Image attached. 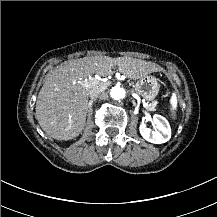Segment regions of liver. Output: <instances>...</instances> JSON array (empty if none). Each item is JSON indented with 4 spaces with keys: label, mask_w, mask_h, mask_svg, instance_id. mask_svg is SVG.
Returning a JSON list of instances; mask_svg holds the SVG:
<instances>
[{
    "label": "liver",
    "mask_w": 217,
    "mask_h": 217,
    "mask_svg": "<svg viewBox=\"0 0 217 217\" xmlns=\"http://www.w3.org/2000/svg\"><path fill=\"white\" fill-rule=\"evenodd\" d=\"M114 66L130 79H140L163 70L152 62L131 57L92 56L60 65L46 75L38 94L35 117L43 131L57 140L77 137L86 122L92 86L88 77L93 74L108 76Z\"/></svg>",
    "instance_id": "6515ba94"
}]
</instances>
